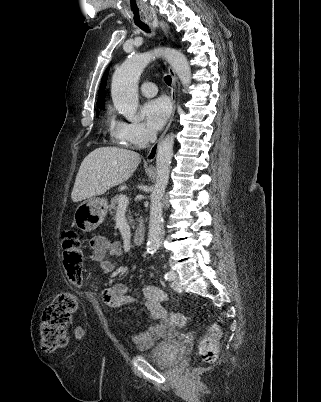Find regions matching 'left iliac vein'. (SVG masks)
Listing matches in <instances>:
<instances>
[{"instance_id": "4c4485c4", "label": "left iliac vein", "mask_w": 321, "mask_h": 402, "mask_svg": "<svg viewBox=\"0 0 321 402\" xmlns=\"http://www.w3.org/2000/svg\"><path fill=\"white\" fill-rule=\"evenodd\" d=\"M171 273L173 274L171 288L174 291L181 293L183 291V287L180 284V280H179L177 274L174 271H171Z\"/></svg>"}]
</instances>
